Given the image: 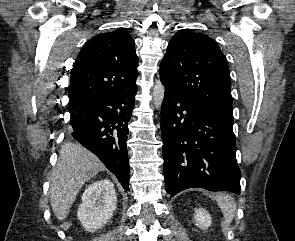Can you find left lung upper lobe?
<instances>
[{"mask_svg":"<svg viewBox=\"0 0 295 241\" xmlns=\"http://www.w3.org/2000/svg\"><path fill=\"white\" fill-rule=\"evenodd\" d=\"M160 79L195 105L233 123L228 63L209 36L188 29L177 32L160 64Z\"/></svg>","mask_w":295,"mask_h":241,"instance_id":"left-lung-upper-lobe-1","label":"left lung upper lobe"}]
</instances>
